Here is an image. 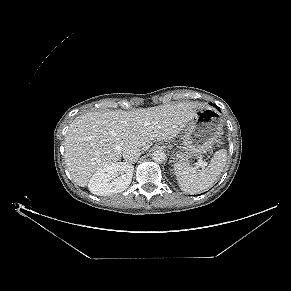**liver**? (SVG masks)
<instances>
[{"mask_svg": "<svg viewBox=\"0 0 291 291\" xmlns=\"http://www.w3.org/2000/svg\"><path fill=\"white\" fill-rule=\"evenodd\" d=\"M205 106L179 102L136 111H96L76 117L65 137V164L73 181L85 187L100 168L116 163L123 149L147 151L153 142L175 138ZM132 166L131 162H127Z\"/></svg>", "mask_w": 291, "mask_h": 291, "instance_id": "obj_1", "label": "liver"}]
</instances>
